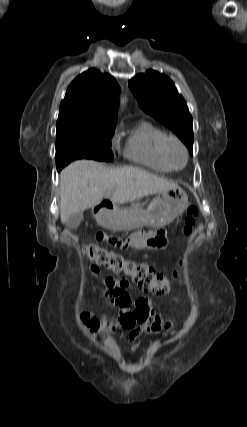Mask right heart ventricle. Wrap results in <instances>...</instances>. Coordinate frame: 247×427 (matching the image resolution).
Masks as SVG:
<instances>
[{"mask_svg":"<svg viewBox=\"0 0 247 427\" xmlns=\"http://www.w3.org/2000/svg\"><path fill=\"white\" fill-rule=\"evenodd\" d=\"M166 133L149 121L139 122L129 133L124 154L127 159L153 171L168 173L171 169L160 155V143Z\"/></svg>","mask_w":247,"mask_h":427,"instance_id":"1","label":"right heart ventricle"}]
</instances>
